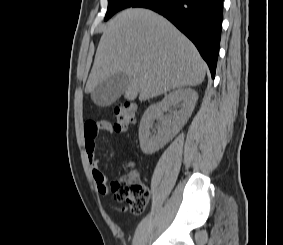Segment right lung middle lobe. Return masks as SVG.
Masks as SVG:
<instances>
[{
    "label": "right lung middle lobe",
    "instance_id": "obj_1",
    "mask_svg": "<svg viewBox=\"0 0 283 245\" xmlns=\"http://www.w3.org/2000/svg\"><path fill=\"white\" fill-rule=\"evenodd\" d=\"M139 0H108V9L105 16V21L108 20L111 16H113L119 10L124 8L131 7Z\"/></svg>",
    "mask_w": 283,
    "mask_h": 245
}]
</instances>
